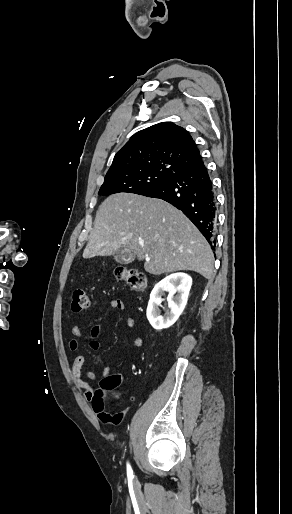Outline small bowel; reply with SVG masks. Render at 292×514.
I'll return each instance as SVG.
<instances>
[{"instance_id":"small-bowel-1","label":"small bowel","mask_w":292,"mask_h":514,"mask_svg":"<svg viewBox=\"0 0 292 514\" xmlns=\"http://www.w3.org/2000/svg\"><path fill=\"white\" fill-rule=\"evenodd\" d=\"M101 302H102L101 299H98V298L92 299L89 302L85 311L82 313V315H84L87 312V310L98 306ZM108 304L112 310H116V311H120V312H123L126 308L123 300H121L119 298L110 299L108 301ZM126 322H127V326L130 329L135 327L134 318L128 317ZM100 332H101V327L99 324H95L94 326H92V328L90 330V341H89V346L92 350H98L101 346V342L99 340ZM71 333H72L73 338L69 340L68 348L70 351H76L80 345L79 339L82 338L84 335H83V332L80 329V327L76 326V325L72 327ZM132 343H133L134 347H140L142 345V339L140 337H134ZM84 364H85L84 355L78 354L74 358L70 373H71V378H72L73 383L79 389L83 390L84 397L89 399L92 395V391H91V388H90V385L88 384V382L83 379V374L89 380H96L98 378V375L92 370H87L84 372L83 371ZM102 369L103 370L101 371V375L107 376L109 366L107 364H104L102 366ZM129 400L131 402H134L136 400V397L134 395H131L129 397Z\"/></svg>"}]
</instances>
